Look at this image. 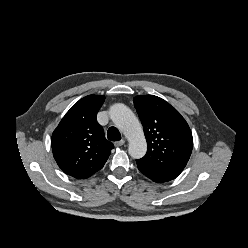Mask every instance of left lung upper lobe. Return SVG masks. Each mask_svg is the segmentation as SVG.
<instances>
[{
  "mask_svg": "<svg viewBox=\"0 0 248 248\" xmlns=\"http://www.w3.org/2000/svg\"><path fill=\"white\" fill-rule=\"evenodd\" d=\"M147 140V153L139 159L158 169L180 174L193 148L191 130L181 114L154 95L134 98Z\"/></svg>",
  "mask_w": 248,
  "mask_h": 248,
  "instance_id": "1",
  "label": "left lung upper lobe"
}]
</instances>
